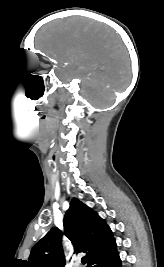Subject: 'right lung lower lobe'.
Here are the masks:
<instances>
[{
    "label": "right lung lower lobe",
    "mask_w": 164,
    "mask_h": 267,
    "mask_svg": "<svg viewBox=\"0 0 164 267\" xmlns=\"http://www.w3.org/2000/svg\"><path fill=\"white\" fill-rule=\"evenodd\" d=\"M88 267H121V260L116 248L95 258Z\"/></svg>",
    "instance_id": "98d812e1"
}]
</instances>
